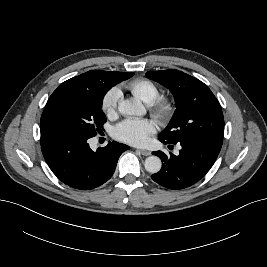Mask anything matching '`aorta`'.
I'll use <instances>...</instances> for the list:
<instances>
[{
  "mask_svg": "<svg viewBox=\"0 0 267 267\" xmlns=\"http://www.w3.org/2000/svg\"><path fill=\"white\" fill-rule=\"evenodd\" d=\"M118 110L125 116H142L146 113L144 105L135 99L120 100L118 103ZM147 172L155 174L161 170L162 162L157 156H149L144 162Z\"/></svg>",
  "mask_w": 267,
  "mask_h": 267,
  "instance_id": "1",
  "label": "aorta"
}]
</instances>
